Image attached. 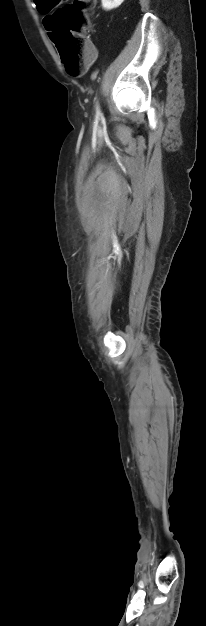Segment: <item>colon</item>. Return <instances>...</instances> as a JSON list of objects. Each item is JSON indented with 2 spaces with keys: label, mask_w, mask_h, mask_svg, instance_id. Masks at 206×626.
<instances>
[{
  "label": "colon",
  "mask_w": 206,
  "mask_h": 626,
  "mask_svg": "<svg viewBox=\"0 0 206 626\" xmlns=\"http://www.w3.org/2000/svg\"><path fill=\"white\" fill-rule=\"evenodd\" d=\"M43 0L41 10L54 9L47 18L50 37L56 45L67 72L77 76L82 73L91 52L86 44L85 31L89 25V11L95 0Z\"/></svg>",
  "instance_id": "colon-1"
}]
</instances>
